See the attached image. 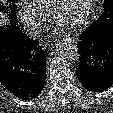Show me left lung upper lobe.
<instances>
[{
	"label": "left lung upper lobe",
	"mask_w": 113,
	"mask_h": 113,
	"mask_svg": "<svg viewBox=\"0 0 113 113\" xmlns=\"http://www.w3.org/2000/svg\"><path fill=\"white\" fill-rule=\"evenodd\" d=\"M106 20H113V0H105L104 12L98 20L92 23V25L99 24Z\"/></svg>",
	"instance_id": "obj_1"
}]
</instances>
